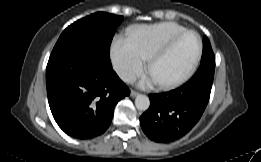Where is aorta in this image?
<instances>
[{"instance_id": "762f6f07", "label": "aorta", "mask_w": 261, "mask_h": 162, "mask_svg": "<svg viewBox=\"0 0 261 162\" xmlns=\"http://www.w3.org/2000/svg\"><path fill=\"white\" fill-rule=\"evenodd\" d=\"M135 106L140 111H146L150 106V100L146 95H137L135 98Z\"/></svg>"}]
</instances>
